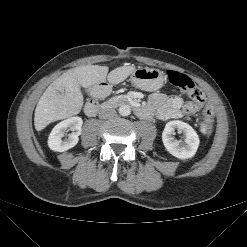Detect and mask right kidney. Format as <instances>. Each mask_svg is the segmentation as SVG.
<instances>
[{
	"mask_svg": "<svg viewBox=\"0 0 247 247\" xmlns=\"http://www.w3.org/2000/svg\"><path fill=\"white\" fill-rule=\"evenodd\" d=\"M83 120L75 116L58 123L51 131L48 137V146L51 150L64 152L73 148L79 141L78 136L81 134ZM73 131L68 139L62 140L67 131Z\"/></svg>",
	"mask_w": 247,
	"mask_h": 247,
	"instance_id": "obj_1",
	"label": "right kidney"
}]
</instances>
